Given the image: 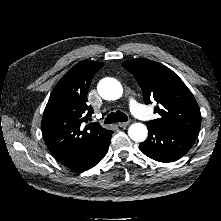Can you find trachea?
I'll return each instance as SVG.
<instances>
[{"instance_id": "3493384b", "label": "trachea", "mask_w": 221, "mask_h": 221, "mask_svg": "<svg viewBox=\"0 0 221 221\" xmlns=\"http://www.w3.org/2000/svg\"><path fill=\"white\" fill-rule=\"evenodd\" d=\"M127 120H128V117L125 113L121 111H116V112L110 113L106 117L104 123L111 124V123H116V122H126Z\"/></svg>"}]
</instances>
